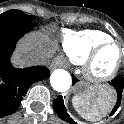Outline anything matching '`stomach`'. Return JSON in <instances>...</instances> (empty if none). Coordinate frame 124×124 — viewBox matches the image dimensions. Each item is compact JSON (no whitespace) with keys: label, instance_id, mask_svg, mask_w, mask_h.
Segmentation results:
<instances>
[{"label":"stomach","instance_id":"stomach-1","mask_svg":"<svg viewBox=\"0 0 124 124\" xmlns=\"http://www.w3.org/2000/svg\"><path fill=\"white\" fill-rule=\"evenodd\" d=\"M75 93L81 97L91 96L96 98L98 96H108L112 102L114 100V95L111 89L107 87L95 88L84 82L77 83L75 86Z\"/></svg>","mask_w":124,"mask_h":124}]
</instances>
